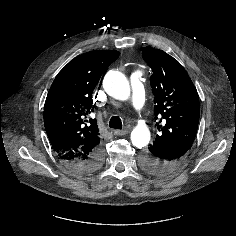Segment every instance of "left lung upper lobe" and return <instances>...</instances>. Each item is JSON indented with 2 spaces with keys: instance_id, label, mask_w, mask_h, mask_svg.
I'll return each instance as SVG.
<instances>
[{
  "instance_id": "left-lung-upper-lobe-1",
  "label": "left lung upper lobe",
  "mask_w": 236,
  "mask_h": 236,
  "mask_svg": "<svg viewBox=\"0 0 236 236\" xmlns=\"http://www.w3.org/2000/svg\"><path fill=\"white\" fill-rule=\"evenodd\" d=\"M152 69L155 121L159 134L150 147L183 148L194 142L199 122V97L185 69L173 57L150 46L142 48Z\"/></svg>"
}]
</instances>
